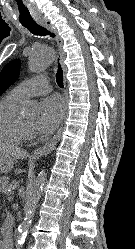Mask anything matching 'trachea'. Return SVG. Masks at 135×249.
<instances>
[{"label":"trachea","instance_id":"1","mask_svg":"<svg viewBox=\"0 0 135 249\" xmlns=\"http://www.w3.org/2000/svg\"><path fill=\"white\" fill-rule=\"evenodd\" d=\"M22 25L25 28H27L34 35H37V36L38 35L39 36H47V35H49L51 37H55V35L53 33H51L45 27L37 24L36 22H26V23H22ZM56 82H57L59 87L63 88V71H62V68H61L60 64L58 65V70H57V75H56Z\"/></svg>","mask_w":135,"mask_h":249}]
</instances>
